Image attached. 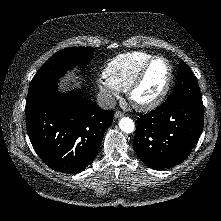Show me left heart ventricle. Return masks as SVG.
Instances as JSON below:
<instances>
[{
  "label": "left heart ventricle",
  "instance_id": "obj_1",
  "mask_svg": "<svg viewBox=\"0 0 221 221\" xmlns=\"http://www.w3.org/2000/svg\"><path fill=\"white\" fill-rule=\"evenodd\" d=\"M168 68L163 60H156L149 67L143 82L135 92L136 100L147 102L154 99L163 89Z\"/></svg>",
  "mask_w": 221,
  "mask_h": 221
}]
</instances>
